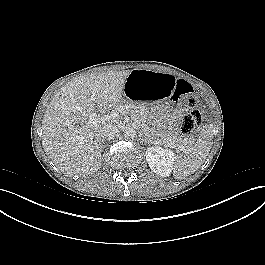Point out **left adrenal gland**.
Returning <instances> with one entry per match:
<instances>
[{
  "instance_id": "a2214340",
  "label": "left adrenal gland",
  "mask_w": 265,
  "mask_h": 265,
  "mask_svg": "<svg viewBox=\"0 0 265 265\" xmlns=\"http://www.w3.org/2000/svg\"><path fill=\"white\" fill-rule=\"evenodd\" d=\"M144 142L150 144V141L147 138H144Z\"/></svg>"
}]
</instances>
